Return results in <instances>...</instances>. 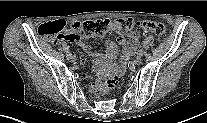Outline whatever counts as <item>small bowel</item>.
Wrapping results in <instances>:
<instances>
[{"mask_svg": "<svg viewBox=\"0 0 207 123\" xmlns=\"http://www.w3.org/2000/svg\"><path fill=\"white\" fill-rule=\"evenodd\" d=\"M110 31L117 32L120 34L119 41L123 46V61L126 62L134 54L136 48L138 47V42L140 38L139 33L122 32L119 29V27H117L114 24L111 26ZM63 32H64V37L66 40L76 42L77 44H79L83 48V50L87 53V55L92 56V57H100L102 60L110 63L111 65L114 64V61L116 60L117 53H118V47L114 41L106 40L105 42L106 54L104 57H102L101 55L96 53L90 45L84 42V38L72 40L68 38L70 32L67 28H64ZM83 63H84V60L81 61V64ZM122 70H123V66L116 69V71L118 72H122Z\"/></svg>", "mask_w": 207, "mask_h": 123, "instance_id": "c3829d8e", "label": "small bowel"}]
</instances>
